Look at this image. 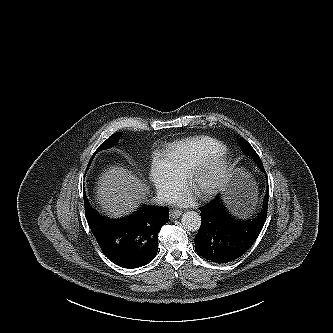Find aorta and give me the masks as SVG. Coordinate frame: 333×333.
I'll return each mask as SVG.
<instances>
[{"mask_svg": "<svg viewBox=\"0 0 333 333\" xmlns=\"http://www.w3.org/2000/svg\"><path fill=\"white\" fill-rule=\"evenodd\" d=\"M181 223L188 231H197L201 225V217L195 211H187L182 215Z\"/></svg>", "mask_w": 333, "mask_h": 333, "instance_id": "762f6f07", "label": "aorta"}]
</instances>
